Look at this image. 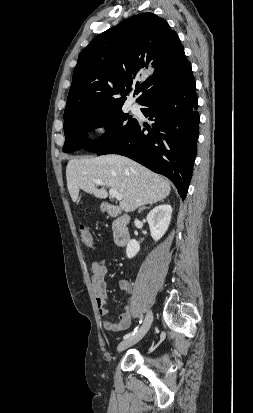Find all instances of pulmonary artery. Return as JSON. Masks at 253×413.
<instances>
[{
  "mask_svg": "<svg viewBox=\"0 0 253 413\" xmlns=\"http://www.w3.org/2000/svg\"><path fill=\"white\" fill-rule=\"evenodd\" d=\"M130 109H131L133 112H136V111L138 110V105H137L135 102H133V103H131V105H130Z\"/></svg>",
  "mask_w": 253,
  "mask_h": 413,
  "instance_id": "1",
  "label": "pulmonary artery"
}]
</instances>
